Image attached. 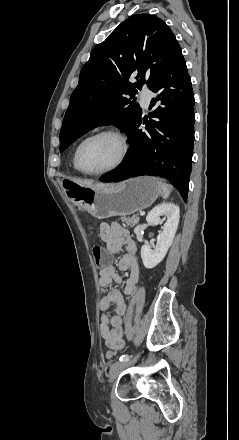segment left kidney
Returning <instances> with one entry per match:
<instances>
[{
	"instance_id": "left-kidney-1",
	"label": "left kidney",
	"mask_w": 239,
	"mask_h": 440,
	"mask_svg": "<svg viewBox=\"0 0 239 440\" xmlns=\"http://www.w3.org/2000/svg\"><path fill=\"white\" fill-rule=\"evenodd\" d=\"M180 210L177 204H159L149 212L146 222L148 224H161L160 216H165L167 222L162 226L163 232L157 236V244L154 250H151L149 244L141 248V258L145 268H155L164 260L176 234L179 224Z\"/></svg>"
}]
</instances>
